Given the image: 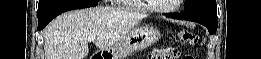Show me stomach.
<instances>
[{"mask_svg":"<svg viewBox=\"0 0 261 59\" xmlns=\"http://www.w3.org/2000/svg\"><path fill=\"white\" fill-rule=\"evenodd\" d=\"M161 33L154 26L134 27L114 47L103 53L105 58L125 59L131 54L155 44Z\"/></svg>","mask_w":261,"mask_h":59,"instance_id":"obj_1","label":"stomach"}]
</instances>
